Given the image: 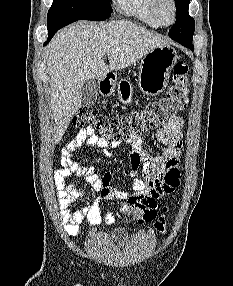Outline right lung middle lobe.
I'll return each instance as SVG.
<instances>
[{
    "mask_svg": "<svg viewBox=\"0 0 233 286\" xmlns=\"http://www.w3.org/2000/svg\"><path fill=\"white\" fill-rule=\"evenodd\" d=\"M112 13L109 0H54L48 11L47 25L62 20L101 21Z\"/></svg>",
    "mask_w": 233,
    "mask_h": 286,
    "instance_id": "obj_1",
    "label": "right lung middle lobe"
}]
</instances>
